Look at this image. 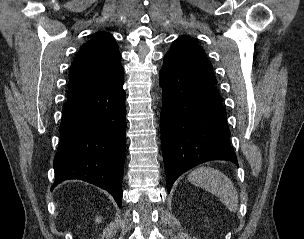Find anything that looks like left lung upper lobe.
I'll return each instance as SVG.
<instances>
[{
    "instance_id": "1",
    "label": "left lung upper lobe",
    "mask_w": 304,
    "mask_h": 239,
    "mask_svg": "<svg viewBox=\"0 0 304 239\" xmlns=\"http://www.w3.org/2000/svg\"><path fill=\"white\" fill-rule=\"evenodd\" d=\"M165 56L178 62L189 73L217 84L212 64L203 48L191 38L181 36L176 39Z\"/></svg>"
}]
</instances>
